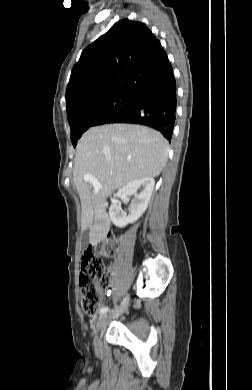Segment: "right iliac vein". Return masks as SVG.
Instances as JSON below:
<instances>
[{
    "label": "right iliac vein",
    "instance_id": "obj_1",
    "mask_svg": "<svg viewBox=\"0 0 252 390\" xmlns=\"http://www.w3.org/2000/svg\"><path fill=\"white\" fill-rule=\"evenodd\" d=\"M128 304H129V295H127L123 299L121 305L115 311H112L110 314H102L99 317L98 321L96 322L93 328L94 346L96 349H100L102 347L101 335L108 322L111 319L118 317L120 314L125 312V310L128 307Z\"/></svg>",
    "mask_w": 252,
    "mask_h": 390
}]
</instances>
